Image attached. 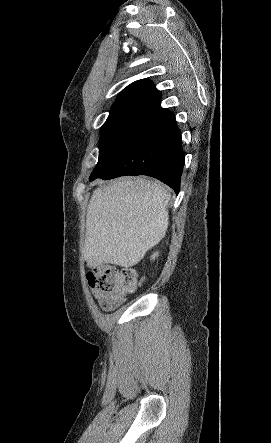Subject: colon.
<instances>
[{
    "label": "colon",
    "instance_id": "colon-1",
    "mask_svg": "<svg viewBox=\"0 0 271 443\" xmlns=\"http://www.w3.org/2000/svg\"><path fill=\"white\" fill-rule=\"evenodd\" d=\"M87 281L92 289L117 298H125L136 288L135 272L127 267L95 268L87 274Z\"/></svg>",
    "mask_w": 271,
    "mask_h": 443
}]
</instances>
